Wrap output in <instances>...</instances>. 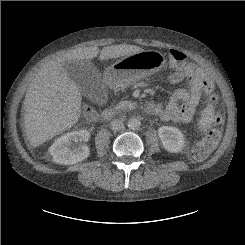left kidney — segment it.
<instances>
[{"mask_svg":"<svg viewBox=\"0 0 245 245\" xmlns=\"http://www.w3.org/2000/svg\"><path fill=\"white\" fill-rule=\"evenodd\" d=\"M159 138L168 152L177 153L185 146L182 132L172 126H161L158 129Z\"/></svg>","mask_w":245,"mask_h":245,"instance_id":"5707ae66","label":"left kidney"}]
</instances>
